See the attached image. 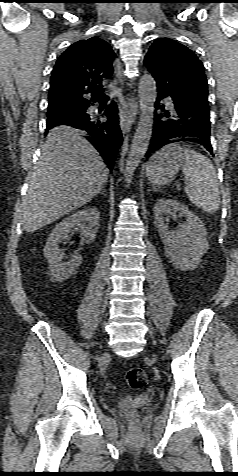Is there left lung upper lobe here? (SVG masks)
<instances>
[{"mask_svg": "<svg viewBox=\"0 0 238 476\" xmlns=\"http://www.w3.org/2000/svg\"><path fill=\"white\" fill-rule=\"evenodd\" d=\"M144 64L164 92L180 105L209 111L204 66L194 52L168 38H159L150 46Z\"/></svg>", "mask_w": 238, "mask_h": 476, "instance_id": "5c2ea615", "label": "left lung upper lobe"}]
</instances>
